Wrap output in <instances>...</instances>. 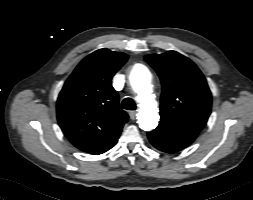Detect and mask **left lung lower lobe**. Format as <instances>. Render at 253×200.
Here are the masks:
<instances>
[{
	"label": "left lung lower lobe",
	"instance_id": "0a47b994",
	"mask_svg": "<svg viewBox=\"0 0 253 200\" xmlns=\"http://www.w3.org/2000/svg\"><path fill=\"white\" fill-rule=\"evenodd\" d=\"M199 132L182 128L166 122H159L158 127L148 132L151 144L160 151L175 153L189 146Z\"/></svg>",
	"mask_w": 253,
	"mask_h": 200
}]
</instances>
